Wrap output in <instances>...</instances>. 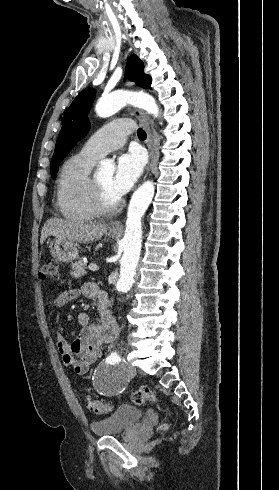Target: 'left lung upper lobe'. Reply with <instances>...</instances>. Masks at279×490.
I'll return each mask as SVG.
<instances>
[{"instance_id": "left-lung-upper-lobe-1", "label": "left lung upper lobe", "mask_w": 279, "mask_h": 490, "mask_svg": "<svg viewBox=\"0 0 279 490\" xmlns=\"http://www.w3.org/2000/svg\"><path fill=\"white\" fill-rule=\"evenodd\" d=\"M143 62L136 56L128 58L125 77L143 88H150L151 78L143 73ZM95 97V90H83L72 102L63 118L62 129L58 135L55 152L51 160V175L55 179L57 166L76 143L89 131L90 123L87 113Z\"/></svg>"}]
</instances>
